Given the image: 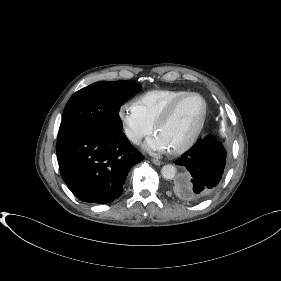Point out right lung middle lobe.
<instances>
[{
    "label": "right lung middle lobe",
    "mask_w": 281,
    "mask_h": 281,
    "mask_svg": "<svg viewBox=\"0 0 281 281\" xmlns=\"http://www.w3.org/2000/svg\"><path fill=\"white\" fill-rule=\"evenodd\" d=\"M141 86L129 81L96 82L67 102L57 140L84 132L122 131L119 110Z\"/></svg>",
    "instance_id": "1"
}]
</instances>
